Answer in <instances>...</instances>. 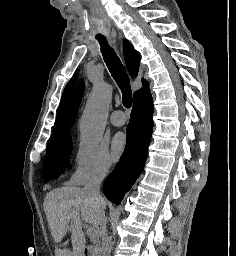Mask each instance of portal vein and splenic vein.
Here are the masks:
<instances>
[{
	"label": "portal vein and splenic vein",
	"mask_w": 236,
	"mask_h": 256,
	"mask_svg": "<svg viewBox=\"0 0 236 256\" xmlns=\"http://www.w3.org/2000/svg\"><path fill=\"white\" fill-rule=\"evenodd\" d=\"M90 234H96V232H95V230H93V228H92V230H90Z\"/></svg>",
	"instance_id": "obj_1"
}]
</instances>
